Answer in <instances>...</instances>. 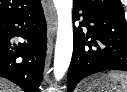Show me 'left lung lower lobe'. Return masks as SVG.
<instances>
[{"label": "left lung lower lobe", "instance_id": "left-lung-lower-lobe-1", "mask_svg": "<svg viewBox=\"0 0 127 92\" xmlns=\"http://www.w3.org/2000/svg\"><path fill=\"white\" fill-rule=\"evenodd\" d=\"M82 11V14H79ZM83 17L74 27V47L67 76L68 92L85 77L106 71H127V21L123 16L73 6V19ZM82 27H86L83 31Z\"/></svg>", "mask_w": 127, "mask_h": 92}]
</instances>
